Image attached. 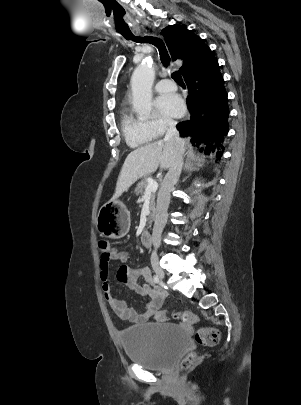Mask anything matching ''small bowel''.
<instances>
[{
  "mask_svg": "<svg viewBox=\"0 0 301 405\" xmlns=\"http://www.w3.org/2000/svg\"><path fill=\"white\" fill-rule=\"evenodd\" d=\"M127 260L128 253L117 249H110L107 257L101 256L100 280L102 282V293L110 308L121 319L132 323L145 322L156 314L166 297V292L152 283L150 269L147 266L132 268L126 264ZM111 261L120 263L116 272L117 280L127 285L139 296L147 298L141 311L130 308L125 301L116 298L112 294L109 283V264ZM141 279L145 283H141Z\"/></svg>",
  "mask_w": 301,
  "mask_h": 405,
  "instance_id": "obj_1",
  "label": "small bowel"
}]
</instances>
